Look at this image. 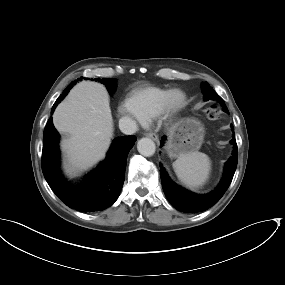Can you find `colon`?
Wrapping results in <instances>:
<instances>
[{"mask_svg": "<svg viewBox=\"0 0 285 285\" xmlns=\"http://www.w3.org/2000/svg\"><path fill=\"white\" fill-rule=\"evenodd\" d=\"M206 114L210 119H217L218 118V114L213 107H208L206 109Z\"/></svg>", "mask_w": 285, "mask_h": 285, "instance_id": "obj_1", "label": "colon"}]
</instances>
